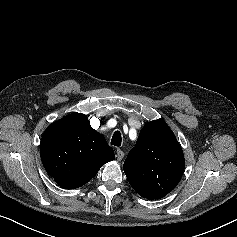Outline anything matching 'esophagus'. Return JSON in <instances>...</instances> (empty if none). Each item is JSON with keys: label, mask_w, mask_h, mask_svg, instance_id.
Here are the masks:
<instances>
[{"label": "esophagus", "mask_w": 237, "mask_h": 237, "mask_svg": "<svg viewBox=\"0 0 237 237\" xmlns=\"http://www.w3.org/2000/svg\"><path fill=\"white\" fill-rule=\"evenodd\" d=\"M116 158L118 161H121L124 158V152L121 149L116 150Z\"/></svg>", "instance_id": "34e87169"}]
</instances>
